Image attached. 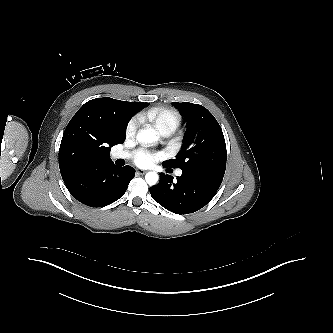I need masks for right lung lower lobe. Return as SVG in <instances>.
Here are the masks:
<instances>
[{
	"label": "right lung lower lobe",
	"mask_w": 333,
	"mask_h": 333,
	"mask_svg": "<svg viewBox=\"0 0 333 333\" xmlns=\"http://www.w3.org/2000/svg\"><path fill=\"white\" fill-rule=\"evenodd\" d=\"M130 166L117 167L113 162L88 166L65 182L71 195L90 207H103L120 199L134 178Z\"/></svg>",
	"instance_id": "obj_1"
}]
</instances>
